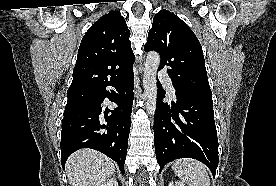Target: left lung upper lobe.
<instances>
[{
	"label": "left lung upper lobe",
	"instance_id": "5c2ea615",
	"mask_svg": "<svg viewBox=\"0 0 276 186\" xmlns=\"http://www.w3.org/2000/svg\"><path fill=\"white\" fill-rule=\"evenodd\" d=\"M145 51L161 56L159 69L167 68L175 90L212 95L202 47L193 31L174 13L160 10L154 16Z\"/></svg>",
	"mask_w": 276,
	"mask_h": 186
}]
</instances>
